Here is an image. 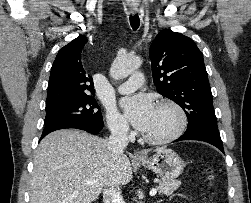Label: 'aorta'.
I'll list each match as a JSON object with an SVG mask.
<instances>
[{
	"instance_id": "762f6f07",
	"label": "aorta",
	"mask_w": 251,
	"mask_h": 203,
	"mask_svg": "<svg viewBox=\"0 0 251 203\" xmlns=\"http://www.w3.org/2000/svg\"><path fill=\"white\" fill-rule=\"evenodd\" d=\"M142 61L139 57L116 58L110 68V76L115 80L124 79L138 69Z\"/></svg>"
}]
</instances>
